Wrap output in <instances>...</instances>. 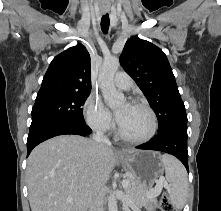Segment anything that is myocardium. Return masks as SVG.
Wrapping results in <instances>:
<instances>
[{"instance_id": "myocardium-1", "label": "myocardium", "mask_w": 221, "mask_h": 211, "mask_svg": "<svg viewBox=\"0 0 221 211\" xmlns=\"http://www.w3.org/2000/svg\"><path fill=\"white\" fill-rule=\"evenodd\" d=\"M131 104H134V105H137V106H140L142 107L143 109H145L148 114L150 115V118H151V128H150V131L149 133L142 137V138H131V137H128L127 135H125L119 124L117 126V135L124 141L128 142V143H131V144H143V143H146L148 141H150L156 134V131H157V126H158V123H157V116L154 112V110L144 101L140 100V99H131L130 101Z\"/></svg>"}]
</instances>
